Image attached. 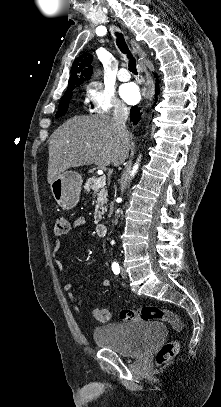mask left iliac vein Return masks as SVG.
Here are the masks:
<instances>
[{
	"label": "left iliac vein",
	"instance_id": "left-iliac-vein-1",
	"mask_svg": "<svg viewBox=\"0 0 221 407\" xmlns=\"http://www.w3.org/2000/svg\"><path fill=\"white\" fill-rule=\"evenodd\" d=\"M121 276H122V278H124V279H126L127 276H128V274H127V272H126V270H125L124 268L121 269Z\"/></svg>",
	"mask_w": 221,
	"mask_h": 407
}]
</instances>
